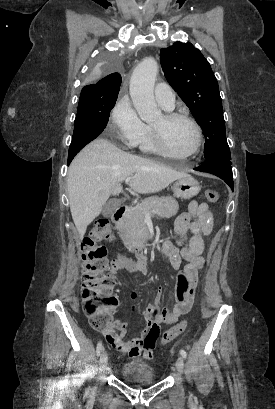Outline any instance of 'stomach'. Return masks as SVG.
<instances>
[{
	"mask_svg": "<svg viewBox=\"0 0 275 409\" xmlns=\"http://www.w3.org/2000/svg\"><path fill=\"white\" fill-rule=\"evenodd\" d=\"M172 188L175 196H180V198H192V196H196L199 190H201L198 180L193 178L191 174L183 176V178H178Z\"/></svg>",
	"mask_w": 275,
	"mask_h": 409,
	"instance_id": "stomach-1",
	"label": "stomach"
}]
</instances>
